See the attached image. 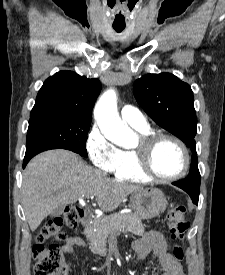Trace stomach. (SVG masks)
<instances>
[{"label":"stomach","mask_w":225,"mask_h":275,"mask_svg":"<svg viewBox=\"0 0 225 275\" xmlns=\"http://www.w3.org/2000/svg\"><path fill=\"white\" fill-rule=\"evenodd\" d=\"M130 205L140 219H152L162 214L167 207V199L157 188H146L130 196Z\"/></svg>","instance_id":"stomach-1"}]
</instances>
